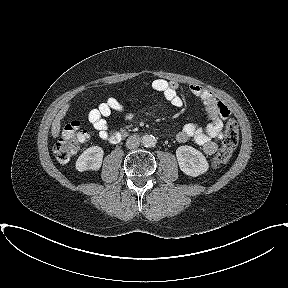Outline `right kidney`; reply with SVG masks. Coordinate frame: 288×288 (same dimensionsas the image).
<instances>
[{
    "instance_id": "right-kidney-1",
    "label": "right kidney",
    "mask_w": 288,
    "mask_h": 288,
    "mask_svg": "<svg viewBox=\"0 0 288 288\" xmlns=\"http://www.w3.org/2000/svg\"><path fill=\"white\" fill-rule=\"evenodd\" d=\"M104 151L99 146L87 148L77 159L76 169L80 172L98 170L102 165Z\"/></svg>"
}]
</instances>
